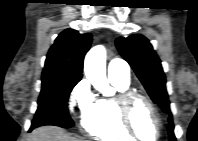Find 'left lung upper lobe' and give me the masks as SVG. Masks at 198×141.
Wrapping results in <instances>:
<instances>
[{
  "mask_svg": "<svg viewBox=\"0 0 198 141\" xmlns=\"http://www.w3.org/2000/svg\"><path fill=\"white\" fill-rule=\"evenodd\" d=\"M116 46L121 56L135 71L151 99L165 113L171 114L161 61L148 39L140 34L131 35L127 38L119 37L116 39ZM169 122V137L171 141H175L176 138L171 117L169 118Z\"/></svg>",
  "mask_w": 198,
  "mask_h": 141,
  "instance_id": "left-lung-upper-lobe-1",
  "label": "left lung upper lobe"
}]
</instances>
